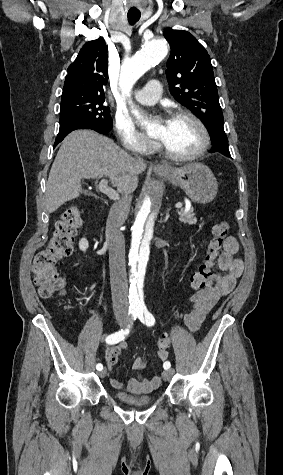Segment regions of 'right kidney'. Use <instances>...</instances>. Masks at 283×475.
Wrapping results in <instances>:
<instances>
[{
	"instance_id": "right-kidney-1",
	"label": "right kidney",
	"mask_w": 283,
	"mask_h": 475,
	"mask_svg": "<svg viewBox=\"0 0 283 475\" xmlns=\"http://www.w3.org/2000/svg\"><path fill=\"white\" fill-rule=\"evenodd\" d=\"M79 247L82 249V251H86L89 247V243L86 238H81L79 241Z\"/></svg>"
}]
</instances>
